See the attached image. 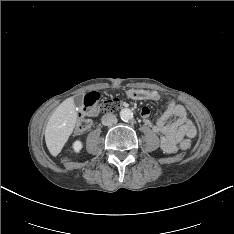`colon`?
Masks as SVG:
<instances>
[{
    "instance_id": "colon-1",
    "label": "colon",
    "mask_w": 234,
    "mask_h": 234,
    "mask_svg": "<svg viewBox=\"0 0 234 234\" xmlns=\"http://www.w3.org/2000/svg\"><path fill=\"white\" fill-rule=\"evenodd\" d=\"M128 96L132 99L142 100H157L159 94L154 91L147 90H130ZM121 107L119 98L112 97L102 99L98 93H90L84 99L83 105L80 111V119L77 122L75 132L82 134L86 132L92 124L91 117L100 113H109L118 110ZM191 147V142L185 139L181 143V148L187 150Z\"/></svg>"
}]
</instances>
